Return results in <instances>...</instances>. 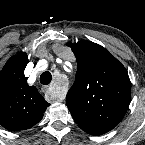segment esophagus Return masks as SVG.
I'll use <instances>...</instances> for the list:
<instances>
[{"label": "esophagus", "instance_id": "1", "mask_svg": "<svg viewBox=\"0 0 145 145\" xmlns=\"http://www.w3.org/2000/svg\"><path fill=\"white\" fill-rule=\"evenodd\" d=\"M43 89L46 91V93L49 92L53 99L57 101H61L63 99V95L59 92L52 91L50 86H44Z\"/></svg>", "mask_w": 145, "mask_h": 145}]
</instances>
